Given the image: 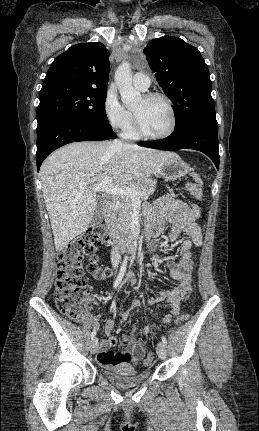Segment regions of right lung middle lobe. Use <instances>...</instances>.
<instances>
[{"instance_id": "dd1d6c3e", "label": "right lung middle lobe", "mask_w": 259, "mask_h": 431, "mask_svg": "<svg viewBox=\"0 0 259 431\" xmlns=\"http://www.w3.org/2000/svg\"><path fill=\"white\" fill-rule=\"evenodd\" d=\"M106 90L54 85L40 92L38 125L57 116H73L97 123H108L105 113Z\"/></svg>"}]
</instances>
